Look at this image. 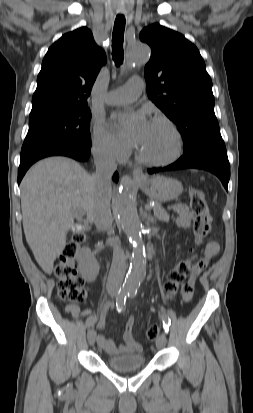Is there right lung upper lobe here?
Listing matches in <instances>:
<instances>
[{
    "instance_id": "right-lung-upper-lobe-1",
    "label": "right lung upper lobe",
    "mask_w": 253,
    "mask_h": 413,
    "mask_svg": "<svg viewBox=\"0 0 253 413\" xmlns=\"http://www.w3.org/2000/svg\"><path fill=\"white\" fill-rule=\"evenodd\" d=\"M105 63L106 55L88 28L63 35L43 59L31 112L87 105L91 88Z\"/></svg>"
}]
</instances>
